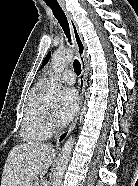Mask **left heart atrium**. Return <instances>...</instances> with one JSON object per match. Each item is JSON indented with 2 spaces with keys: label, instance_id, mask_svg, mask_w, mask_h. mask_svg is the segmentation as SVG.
Listing matches in <instances>:
<instances>
[{
  "label": "left heart atrium",
  "instance_id": "39dd6f15",
  "mask_svg": "<svg viewBox=\"0 0 138 186\" xmlns=\"http://www.w3.org/2000/svg\"><path fill=\"white\" fill-rule=\"evenodd\" d=\"M79 106V96L74 88H66L62 92L61 107L56 114L57 121L64 125L76 114Z\"/></svg>",
  "mask_w": 138,
  "mask_h": 186
}]
</instances>
